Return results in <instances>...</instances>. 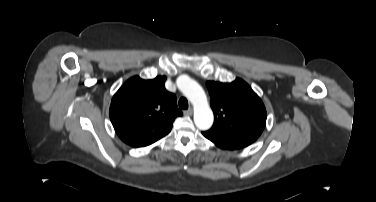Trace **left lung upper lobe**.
Segmentation results:
<instances>
[{
	"instance_id": "5c2ea615",
	"label": "left lung upper lobe",
	"mask_w": 376,
	"mask_h": 202,
	"mask_svg": "<svg viewBox=\"0 0 376 202\" xmlns=\"http://www.w3.org/2000/svg\"><path fill=\"white\" fill-rule=\"evenodd\" d=\"M206 85L215 117L211 130L253 143L266 124V109L259 96L240 78Z\"/></svg>"
}]
</instances>
